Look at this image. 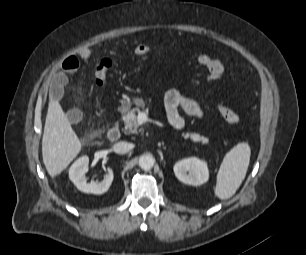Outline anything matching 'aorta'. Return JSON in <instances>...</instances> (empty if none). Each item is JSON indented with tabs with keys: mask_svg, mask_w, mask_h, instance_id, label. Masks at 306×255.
Returning <instances> with one entry per match:
<instances>
[{
	"mask_svg": "<svg viewBox=\"0 0 306 255\" xmlns=\"http://www.w3.org/2000/svg\"><path fill=\"white\" fill-rule=\"evenodd\" d=\"M155 159L151 154H143L139 158V166L143 170H149L154 166Z\"/></svg>",
	"mask_w": 306,
	"mask_h": 255,
	"instance_id": "1",
	"label": "aorta"
}]
</instances>
